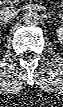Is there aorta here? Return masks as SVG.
Segmentation results:
<instances>
[{
  "mask_svg": "<svg viewBox=\"0 0 63 107\" xmlns=\"http://www.w3.org/2000/svg\"><path fill=\"white\" fill-rule=\"evenodd\" d=\"M23 21L27 25H36L39 22V14L34 10L26 11L23 15Z\"/></svg>",
  "mask_w": 63,
  "mask_h": 107,
  "instance_id": "aorta-1",
  "label": "aorta"
}]
</instances>
